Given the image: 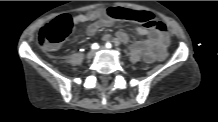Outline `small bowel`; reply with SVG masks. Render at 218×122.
<instances>
[{
	"label": "small bowel",
	"instance_id": "c3829d8e",
	"mask_svg": "<svg viewBox=\"0 0 218 122\" xmlns=\"http://www.w3.org/2000/svg\"><path fill=\"white\" fill-rule=\"evenodd\" d=\"M117 8L112 7L109 9H95L84 14H79L73 17V23L76 25H82L89 23L86 28V32L89 36L95 35L102 27H109L114 22V17L109 15V10ZM139 36H145L144 39L136 41L132 48L135 51L141 52L143 58L147 63L156 61V55L162 52L163 49H167L170 43V37L166 30L165 25L162 28H148L145 26H139L136 29ZM106 39H113L121 43H129L130 38L124 31H118L115 35H106Z\"/></svg>",
	"mask_w": 218,
	"mask_h": 122
}]
</instances>
